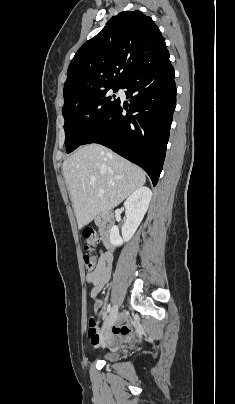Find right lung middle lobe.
Wrapping results in <instances>:
<instances>
[{
	"label": "right lung middle lobe",
	"mask_w": 235,
	"mask_h": 404,
	"mask_svg": "<svg viewBox=\"0 0 235 404\" xmlns=\"http://www.w3.org/2000/svg\"><path fill=\"white\" fill-rule=\"evenodd\" d=\"M119 88L121 85L110 86L64 103L62 113L67 153L79 147L117 106L120 99L114 93Z\"/></svg>",
	"instance_id": "right-lung-middle-lobe-1"
}]
</instances>
